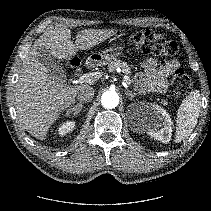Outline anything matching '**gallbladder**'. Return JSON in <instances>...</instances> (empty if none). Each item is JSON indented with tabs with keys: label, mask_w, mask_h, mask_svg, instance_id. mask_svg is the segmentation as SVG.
I'll use <instances>...</instances> for the list:
<instances>
[{
	"label": "gallbladder",
	"mask_w": 211,
	"mask_h": 211,
	"mask_svg": "<svg viewBox=\"0 0 211 211\" xmlns=\"http://www.w3.org/2000/svg\"><path fill=\"white\" fill-rule=\"evenodd\" d=\"M38 60L48 69L51 77L58 83L66 81L65 70L56 61L51 51L45 47L38 49Z\"/></svg>",
	"instance_id": "gallbladder-1"
}]
</instances>
